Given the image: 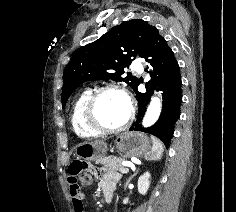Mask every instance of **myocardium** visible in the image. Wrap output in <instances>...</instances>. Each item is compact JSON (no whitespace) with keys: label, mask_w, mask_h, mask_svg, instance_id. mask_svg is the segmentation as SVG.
<instances>
[{"label":"myocardium","mask_w":236,"mask_h":212,"mask_svg":"<svg viewBox=\"0 0 236 212\" xmlns=\"http://www.w3.org/2000/svg\"><path fill=\"white\" fill-rule=\"evenodd\" d=\"M114 90L120 92L126 99L129 107V112L126 120L122 125L117 128H106L103 127L96 117V105L98 98L106 91ZM135 116V104L130 95V93L121 85L115 83L105 84L96 88L92 91L91 95L89 96L84 110V120L86 125L93 131L99 134H117L120 132L125 131L133 122Z\"/></svg>","instance_id":"myocardium-1"}]
</instances>
